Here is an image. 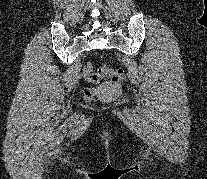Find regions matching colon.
<instances>
[{
    "label": "colon",
    "mask_w": 207,
    "mask_h": 179,
    "mask_svg": "<svg viewBox=\"0 0 207 179\" xmlns=\"http://www.w3.org/2000/svg\"><path fill=\"white\" fill-rule=\"evenodd\" d=\"M84 74L86 79L93 85H98L100 79L103 77H109L115 82H123L126 79V73L122 68L113 69L109 67H100L97 72H94L89 64L86 65ZM97 92L98 89L96 86L87 87L84 90V98L90 101L96 96Z\"/></svg>",
    "instance_id": "1"
}]
</instances>
